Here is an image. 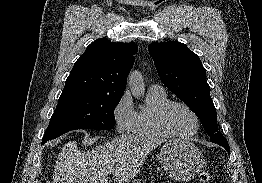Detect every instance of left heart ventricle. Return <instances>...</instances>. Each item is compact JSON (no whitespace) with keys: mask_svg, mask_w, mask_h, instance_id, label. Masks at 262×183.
<instances>
[{"mask_svg":"<svg viewBox=\"0 0 262 183\" xmlns=\"http://www.w3.org/2000/svg\"><path fill=\"white\" fill-rule=\"evenodd\" d=\"M168 125L174 132L186 134L195 129L196 123L190 112L183 107L176 106L169 113Z\"/></svg>","mask_w":262,"mask_h":183,"instance_id":"b2bd125f","label":"left heart ventricle"}]
</instances>
